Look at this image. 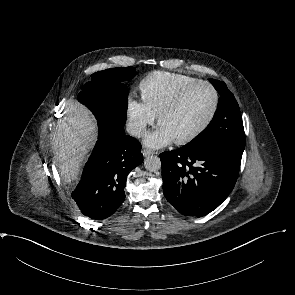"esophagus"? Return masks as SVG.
Wrapping results in <instances>:
<instances>
[{
  "label": "esophagus",
  "mask_w": 295,
  "mask_h": 295,
  "mask_svg": "<svg viewBox=\"0 0 295 295\" xmlns=\"http://www.w3.org/2000/svg\"><path fill=\"white\" fill-rule=\"evenodd\" d=\"M142 154L146 157V156H148V155L156 154V152L153 151V150H150V149L144 148V149L142 150Z\"/></svg>",
  "instance_id": "esophagus-1"
}]
</instances>
